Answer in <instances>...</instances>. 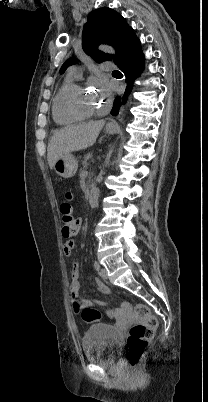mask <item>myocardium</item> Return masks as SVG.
I'll return each instance as SVG.
<instances>
[{
  "mask_svg": "<svg viewBox=\"0 0 208 402\" xmlns=\"http://www.w3.org/2000/svg\"><path fill=\"white\" fill-rule=\"evenodd\" d=\"M84 93V88L82 86L74 87L66 98V107L68 111L79 117H89L94 114L98 106L97 104L91 108H83L80 103V97Z\"/></svg>",
  "mask_w": 208,
  "mask_h": 402,
  "instance_id": "1",
  "label": "myocardium"
}]
</instances>
